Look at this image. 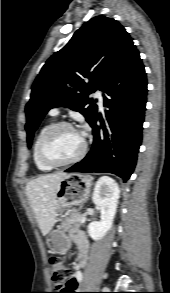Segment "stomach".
Masks as SVG:
<instances>
[{
  "label": "stomach",
  "instance_id": "stomach-1",
  "mask_svg": "<svg viewBox=\"0 0 170 293\" xmlns=\"http://www.w3.org/2000/svg\"><path fill=\"white\" fill-rule=\"evenodd\" d=\"M91 185L92 177L89 175L67 174L56 192L57 215L63 216L68 208L83 204L89 198ZM47 241L49 248L58 254L66 252L70 244L67 235L62 230L51 231Z\"/></svg>",
  "mask_w": 170,
  "mask_h": 293
}]
</instances>
